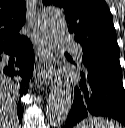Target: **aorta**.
I'll use <instances>...</instances> for the list:
<instances>
[{
  "label": "aorta",
  "mask_w": 125,
  "mask_h": 128,
  "mask_svg": "<svg viewBox=\"0 0 125 128\" xmlns=\"http://www.w3.org/2000/svg\"><path fill=\"white\" fill-rule=\"evenodd\" d=\"M38 24L44 37L57 46L65 35L67 23L63 12L56 7H45L38 15ZM61 75L55 78L47 99V119L52 127H59L67 118L73 102V91L65 73V58L61 57Z\"/></svg>",
  "instance_id": "762f6f07"
}]
</instances>
